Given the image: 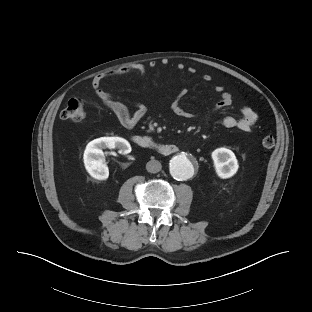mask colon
<instances>
[{
  "instance_id": "colon-1",
  "label": "colon",
  "mask_w": 312,
  "mask_h": 312,
  "mask_svg": "<svg viewBox=\"0 0 312 312\" xmlns=\"http://www.w3.org/2000/svg\"><path fill=\"white\" fill-rule=\"evenodd\" d=\"M60 118L67 121H81L85 118L83 101L80 98H71L60 113ZM261 145L265 149H271L275 145V139L271 134L262 138Z\"/></svg>"
}]
</instances>
